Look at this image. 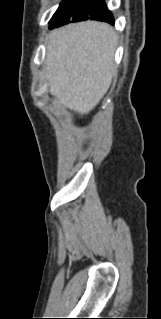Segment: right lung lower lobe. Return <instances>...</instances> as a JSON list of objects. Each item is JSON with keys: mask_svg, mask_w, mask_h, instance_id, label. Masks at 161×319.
Segmentation results:
<instances>
[{"mask_svg": "<svg viewBox=\"0 0 161 319\" xmlns=\"http://www.w3.org/2000/svg\"><path fill=\"white\" fill-rule=\"evenodd\" d=\"M88 19L90 20H98V21H104L108 22L110 24H114V18L112 13L108 10L107 6L104 2H101V5L99 8L92 13ZM87 20V19H86ZM84 21V20H83Z\"/></svg>", "mask_w": 161, "mask_h": 319, "instance_id": "1", "label": "right lung lower lobe"}]
</instances>
